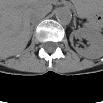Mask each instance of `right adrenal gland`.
Masks as SVG:
<instances>
[{"mask_svg":"<svg viewBox=\"0 0 103 103\" xmlns=\"http://www.w3.org/2000/svg\"><path fill=\"white\" fill-rule=\"evenodd\" d=\"M33 28H34V25H31V27H30V33L31 34L33 33Z\"/></svg>","mask_w":103,"mask_h":103,"instance_id":"2a0ac1e0","label":"right adrenal gland"}]
</instances>
